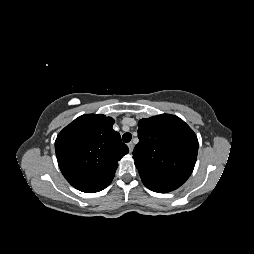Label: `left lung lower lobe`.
I'll use <instances>...</instances> for the list:
<instances>
[{
    "label": "left lung lower lobe",
    "mask_w": 254,
    "mask_h": 254,
    "mask_svg": "<svg viewBox=\"0 0 254 254\" xmlns=\"http://www.w3.org/2000/svg\"><path fill=\"white\" fill-rule=\"evenodd\" d=\"M142 182L147 188L158 193H166L178 188L177 186H174L171 184H165V183H160V182H155L150 180L142 179Z\"/></svg>",
    "instance_id": "obj_1"
}]
</instances>
